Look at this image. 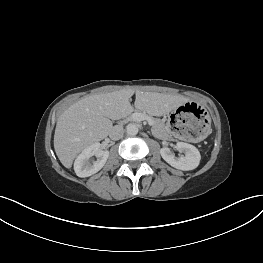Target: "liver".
<instances>
[{
  "label": "liver",
  "mask_w": 263,
  "mask_h": 263,
  "mask_svg": "<svg viewBox=\"0 0 263 263\" xmlns=\"http://www.w3.org/2000/svg\"><path fill=\"white\" fill-rule=\"evenodd\" d=\"M134 93L135 108L154 116L168 114L187 102L181 95L132 89L81 98L59 116L55 128L54 149L66 168H71L82 150L109 135L113 128L110 119L122 118L133 111L129 99Z\"/></svg>",
  "instance_id": "1"
}]
</instances>
